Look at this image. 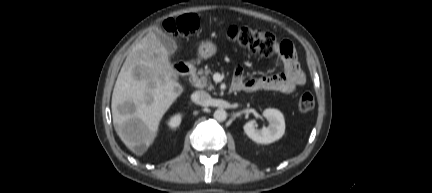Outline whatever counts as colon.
<instances>
[{
    "label": "colon",
    "mask_w": 432,
    "mask_h": 193,
    "mask_svg": "<svg viewBox=\"0 0 432 193\" xmlns=\"http://www.w3.org/2000/svg\"><path fill=\"white\" fill-rule=\"evenodd\" d=\"M164 27L174 37H189L199 29L200 20L196 15L187 14L175 19H168L165 21ZM227 37L254 55L268 57L277 52L285 54L290 52L289 45L277 43L273 34L248 26H231L227 30ZM314 106L315 99L311 93L305 92L300 96L298 101L300 111H311Z\"/></svg>",
    "instance_id": "obj_1"
}]
</instances>
